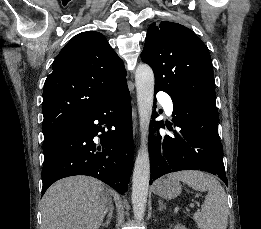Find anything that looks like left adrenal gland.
I'll return each instance as SVG.
<instances>
[{
    "label": "left adrenal gland",
    "mask_w": 261,
    "mask_h": 229,
    "mask_svg": "<svg viewBox=\"0 0 261 229\" xmlns=\"http://www.w3.org/2000/svg\"><path fill=\"white\" fill-rule=\"evenodd\" d=\"M158 203H159L158 211H162V209H166L165 205H163V203H162V201H160V199H159Z\"/></svg>",
    "instance_id": "a2214340"
}]
</instances>
